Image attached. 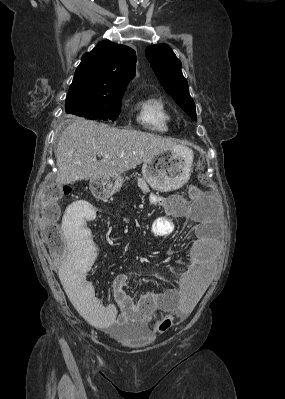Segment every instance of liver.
<instances>
[{
  "mask_svg": "<svg viewBox=\"0 0 285 399\" xmlns=\"http://www.w3.org/2000/svg\"><path fill=\"white\" fill-rule=\"evenodd\" d=\"M181 147L153 133L118 129L77 118L62 132L56 152L59 184L120 175L164 150ZM97 155L102 156L97 160ZM108 155V158H105Z\"/></svg>",
  "mask_w": 285,
  "mask_h": 399,
  "instance_id": "6515ba94",
  "label": "liver"
}]
</instances>
